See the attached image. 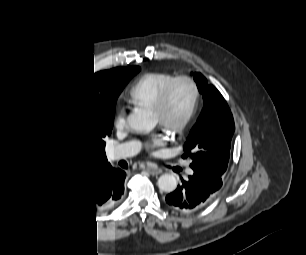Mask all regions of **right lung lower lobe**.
Returning a JSON list of instances; mask_svg holds the SVG:
<instances>
[{
  "mask_svg": "<svg viewBox=\"0 0 306 255\" xmlns=\"http://www.w3.org/2000/svg\"><path fill=\"white\" fill-rule=\"evenodd\" d=\"M126 172L111 165L100 166L73 181L70 188L82 199L92 200L95 209H106L119 202L124 194Z\"/></svg>",
  "mask_w": 306,
  "mask_h": 255,
  "instance_id": "obj_1",
  "label": "right lung lower lobe"
}]
</instances>
